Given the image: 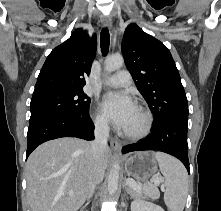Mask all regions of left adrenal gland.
<instances>
[{
    "mask_svg": "<svg viewBox=\"0 0 221 211\" xmlns=\"http://www.w3.org/2000/svg\"><path fill=\"white\" fill-rule=\"evenodd\" d=\"M124 188H125L126 193L130 194V190H129L126 182H124Z\"/></svg>",
    "mask_w": 221,
    "mask_h": 211,
    "instance_id": "1",
    "label": "left adrenal gland"
}]
</instances>
